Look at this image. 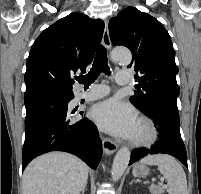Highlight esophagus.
<instances>
[{
  "instance_id": "34e87169",
  "label": "esophagus",
  "mask_w": 201,
  "mask_h": 194,
  "mask_svg": "<svg viewBox=\"0 0 201 194\" xmlns=\"http://www.w3.org/2000/svg\"><path fill=\"white\" fill-rule=\"evenodd\" d=\"M103 45L104 47L110 51L111 50V41L109 35L108 22L105 21V27L103 32ZM118 148V144L110 138L105 137L103 139V151L105 154L110 155L113 154Z\"/></svg>"
}]
</instances>
